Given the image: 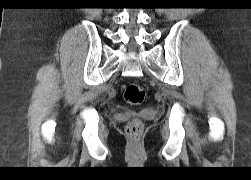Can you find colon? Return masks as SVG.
I'll return each mask as SVG.
<instances>
[{
	"label": "colon",
	"mask_w": 251,
	"mask_h": 180,
	"mask_svg": "<svg viewBox=\"0 0 251 180\" xmlns=\"http://www.w3.org/2000/svg\"><path fill=\"white\" fill-rule=\"evenodd\" d=\"M145 97V89L137 83H129L124 88V99L131 105H140ZM141 131L142 123L138 119H132L126 125V133L132 139L138 138Z\"/></svg>",
	"instance_id": "colon-1"
}]
</instances>
